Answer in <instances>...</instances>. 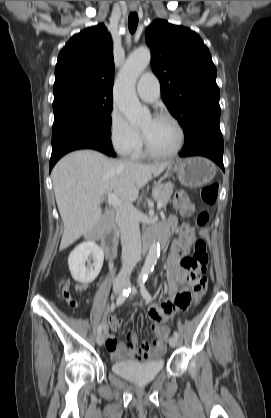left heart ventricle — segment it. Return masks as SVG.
Wrapping results in <instances>:
<instances>
[{
  "instance_id": "obj_1",
  "label": "left heart ventricle",
  "mask_w": 271,
  "mask_h": 418,
  "mask_svg": "<svg viewBox=\"0 0 271 418\" xmlns=\"http://www.w3.org/2000/svg\"><path fill=\"white\" fill-rule=\"evenodd\" d=\"M141 130L157 152H170L178 144V131L174 124L167 119L149 117L141 125Z\"/></svg>"
}]
</instances>
